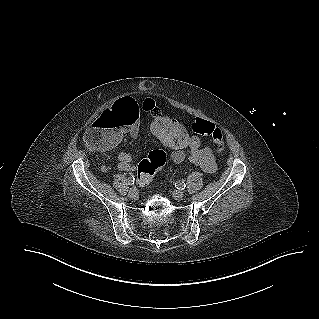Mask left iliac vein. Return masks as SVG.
Instances as JSON below:
<instances>
[{"instance_id": "4c4485c4", "label": "left iliac vein", "mask_w": 319, "mask_h": 319, "mask_svg": "<svg viewBox=\"0 0 319 319\" xmlns=\"http://www.w3.org/2000/svg\"><path fill=\"white\" fill-rule=\"evenodd\" d=\"M172 196L174 199H176L178 201H181L184 199V193L182 191H179V190H174L172 192Z\"/></svg>"}]
</instances>
